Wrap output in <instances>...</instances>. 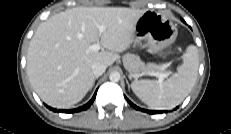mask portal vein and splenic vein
Masks as SVG:
<instances>
[{"label": "portal vein and splenic vein", "instance_id": "obj_1", "mask_svg": "<svg viewBox=\"0 0 231 134\" xmlns=\"http://www.w3.org/2000/svg\"><path fill=\"white\" fill-rule=\"evenodd\" d=\"M105 30V27L103 25L99 26L98 27V31L100 33H103ZM101 49V45L100 43H95L93 45L90 46V50L91 51H94V52H97ZM148 75H151V76H156L159 78V82H162L164 80V78H167L169 75H170V72H167V73H162V72H159V71H153V72H148L147 73Z\"/></svg>", "mask_w": 231, "mask_h": 134}]
</instances>
